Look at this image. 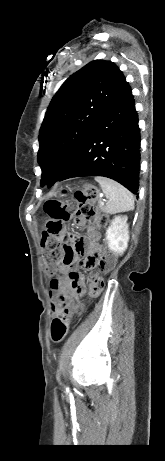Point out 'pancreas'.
Here are the masks:
<instances>
[{"mask_svg": "<svg viewBox=\"0 0 165 461\" xmlns=\"http://www.w3.org/2000/svg\"><path fill=\"white\" fill-rule=\"evenodd\" d=\"M97 208L100 209V210H104V207H103L102 204H99Z\"/></svg>", "mask_w": 165, "mask_h": 461, "instance_id": "pancreas-1", "label": "pancreas"}]
</instances>
